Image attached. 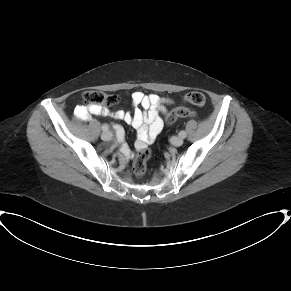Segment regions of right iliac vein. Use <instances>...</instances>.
Instances as JSON below:
<instances>
[{"label":"right iliac vein","instance_id":"63e3f726","mask_svg":"<svg viewBox=\"0 0 291 291\" xmlns=\"http://www.w3.org/2000/svg\"><path fill=\"white\" fill-rule=\"evenodd\" d=\"M101 138L104 140V141H109L113 138V135L111 132H103L102 135H101Z\"/></svg>","mask_w":291,"mask_h":291}]
</instances>
